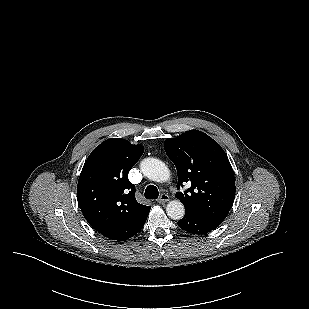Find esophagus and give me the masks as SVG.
Instances as JSON below:
<instances>
[{
	"label": "esophagus",
	"instance_id": "34e87169",
	"mask_svg": "<svg viewBox=\"0 0 309 309\" xmlns=\"http://www.w3.org/2000/svg\"><path fill=\"white\" fill-rule=\"evenodd\" d=\"M167 201H169V196L166 193H162L160 197L157 199V202L160 204H163Z\"/></svg>",
	"mask_w": 309,
	"mask_h": 309
}]
</instances>
